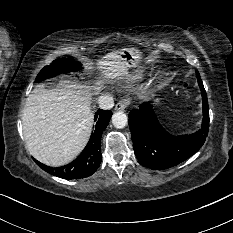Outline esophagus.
<instances>
[{"label":"esophagus","instance_id":"1","mask_svg":"<svg viewBox=\"0 0 233 233\" xmlns=\"http://www.w3.org/2000/svg\"><path fill=\"white\" fill-rule=\"evenodd\" d=\"M130 104V99L129 98H124L122 100H120L116 106H115V110L117 111H122L124 109H126L128 107V105Z\"/></svg>","mask_w":233,"mask_h":233}]
</instances>
